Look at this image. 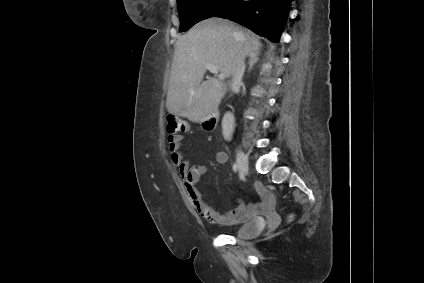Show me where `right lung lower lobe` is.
Instances as JSON below:
<instances>
[{
	"label": "right lung lower lobe",
	"mask_w": 424,
	"mask_h": 283,
	"mask_svg": "<svg viewBox=\"0 0 424 283\" xmlns=\"http://www.w3.org/2000/svg\"><path fill=\"white\" fill-rule=\"evenodd\" d=\"M291 0H233L213 17L237 22L255 33L277 42L287 17Z\"/></svg>",
	"instance_id": "98d812e1"
}]
</instances>
